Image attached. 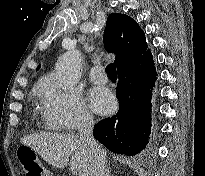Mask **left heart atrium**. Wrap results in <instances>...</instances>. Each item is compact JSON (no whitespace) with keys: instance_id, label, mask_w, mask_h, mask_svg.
Here are the masks:
<instances>
[{"instance_id":"left-heart-atrium-1","label":"left heart atrium","mask_w":205,"mask_h":176,"mask_svg":"<svg viewBox=\"0 0 205 176\" xmlns=\"http://www.w3.org/2000/svg\"><path fill=\"white\" fill-rule=\"evenodd\" d=\"M92 109L99 114L110 112L115 106V99L110 91L103 88H93L89 94Z\"/></svg>"}]
</instances>
